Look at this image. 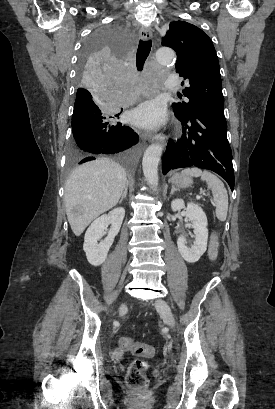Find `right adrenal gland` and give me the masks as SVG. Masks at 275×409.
<instances>
[{
	"mask_svg": "<svg viewBox=\"0 0 275 409\" xmlns=\"http://www.w3.org/2000/svg\"><path fill=\"white\" fill-rule=\"evenodd\" d=\"M127 192H128V182H127V184H125V188H124V190L122 192V196H121L119 202H122L123 198H126Z\"/></svg>",
	"mask_w": 275,
	"mask_h": 409,
	"instance_id": "1",
	"label": "right adrenal gland"
}]
</instances>
